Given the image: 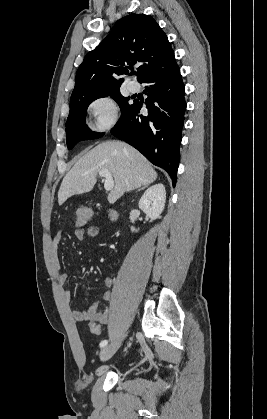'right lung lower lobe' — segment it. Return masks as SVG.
I'll return each mask as SVG.
<instances>
[{"instance_id": "98d812e1", "label": "right lung lower lobe", "mask_w": 267, "mask_h": 419, "mask_svg": "<svg viewBox=\"0 0 267 419\" xmlns=\"http://www.w3.org/2000/svg\"><path fill=\"white\" fill-rule=\"evenodd\" d=\"M148 115L140 114L142 102L134 100L111 133L140 151L151 163L166 170L173 186L177 180L181 132L186 102L180 69L173 63L144 77Z\"/></svg>"}]
</instances>
